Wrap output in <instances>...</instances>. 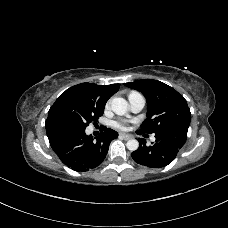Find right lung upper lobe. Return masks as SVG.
<instances>
[{
  "instance_id": "right-lung-upper-lobe-1",
  "label": "right lung upper lobe",
  "mask_w": 228,
  "mask_h": 228,
  "mask_svg": "<svg viewBox=\"0 0 228 228\" xmlns=\"http://www.w3.org/2000/svg\"><path fill=\"white\" fill-rule=\"evenodd\" d=\"M120 84L97 85L93 83H81L75 85L66 91H74L90 98L96 102L106 104L107 100L118 91Z\"/></svg>"
}]
</instances>
